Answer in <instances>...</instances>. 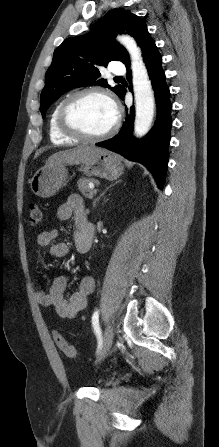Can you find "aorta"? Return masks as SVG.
Here are the masks:
<instances>
[{"instance_id": "aorta-1", "label": "aorta", "mask_w": 219, "mask_h": 447, "mask_svg": "<svg viewBox=\"0 0 219 447\" xmlns=\"http://www.w3.org/2000/svg\"><path fill=\"white\" fill-rule=\"evenodd\" d=\"M117 40L130 55L136 109L134 132L137 137H142L149 131L154 117V94L151 82L136 41L128 35L118 36Z\"/></svg>"}]
</instances>
